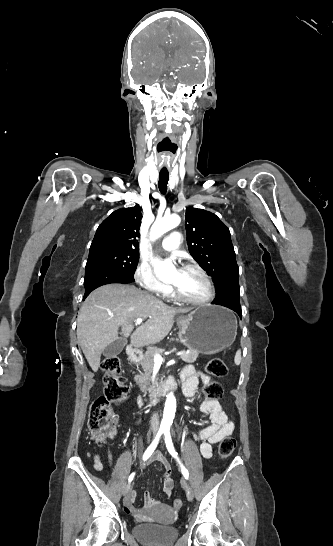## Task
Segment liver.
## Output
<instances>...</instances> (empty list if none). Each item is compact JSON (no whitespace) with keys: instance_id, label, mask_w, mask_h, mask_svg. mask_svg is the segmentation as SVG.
<instances>
[{"instance_id":"obj_1","label":"liver","mask_w":333,"mask_h":546,"mask_svg":"<svg viewBox=\"0 0 333 546\" xmlns=\"http://www.w3.org/2000/svg\"><path fill=\"white\" fill-rule=\"evenodd\" d=\"M176 309L130 285L106 284L94 290L78 314L77 338L91 369L97 371L104 349L124 337L134 347L163 340L173 327ZM137 318L149 320L131 335ZM119 329L120 333H119Z\"/></svg>"}]
</instances>
